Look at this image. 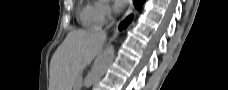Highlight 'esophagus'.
<instances>
[{
  "label": "esophagus",
  "instance_id": "34e87169",
  "mask_svg": "<svg viewBox=\"0 0 228 90\" xmlns=\"http://www.w3.org/2000/svg\"><path fill=\"white\" fill-rule=\"evenodd\" d=\"M132 11H133V4H132V3H130V5H129V7H128V10H127V12H126V15H125V16H128L129 14H131V13H132Z\"/></svg>",
  "mask_w": 228,
  "mask_h": 90
}]
</instances>
